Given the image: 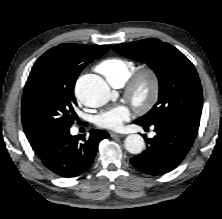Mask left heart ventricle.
Returning a JSON list of instances; mask_svg holds the SVG:
<instances>
[{"instance_id": "left-heart-ventricle-1", "label": "left heart ventricle", "mask_w": 222, "mask_h": 219, "mask_svg": "<svg viewBox=\"0 0 222 219\" xmlns=\"http://www.w3.org/2000/svg\"><path fill=\"white\" fill-rule=\"evenodd\" d=\"M146 85L145 84H143V85H141L140 86V88H139V90H138V96L139 97H144L145 95H146Z\"/></svg>"}]
</instances>
